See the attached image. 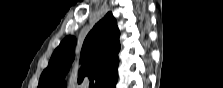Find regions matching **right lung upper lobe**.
<instances>
[{
	"label": "right lung upper lobe",
	"mask_w": 223,
	"mask_h": 88,
	"mask_svg": "<svg viewBox=\"0 0 223 88\" xmlns=\"http://www.w3.org/2000/svg\"><path fill=\"white\" fill-rule=\"evenodd\" d=\"M119 30L115 18L108 12L87 35L80 54L78 83L94 79L95 88H104L118 78ZM76 39L66 37L52 54L43 71L38 88H65V75L74 60Z\"/></svg>",
	"instance_id": "1"
}]
</instances>
